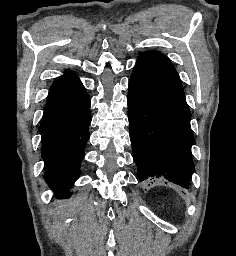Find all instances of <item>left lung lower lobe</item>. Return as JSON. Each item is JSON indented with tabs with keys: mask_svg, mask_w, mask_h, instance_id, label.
Listing matches in <instances>:
<instances>
[{
	"mask_svg": "<svg viewBox=\"0 0 236 256\" xmlns=\"http://www.w3.org/2000/svg\"><path fill=\"white\" fill-rule=\"evenodd\" d=\"M128 118L139 181H169L188 188L194 171V137L184 92L134 69Z\"/></svg>",
	"mask_w": 236,
	"mask_h": 256,
	"instance_id": "left-lung-lower-lobe-1",
	"label": "left lung lower lobe"
}]
</instances>
